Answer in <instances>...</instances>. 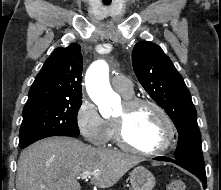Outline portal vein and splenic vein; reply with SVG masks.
I'll return each instance as SVG.
<instances>
[{"label":"portal vein and splenic vein","instance_id":"portal-vein-and-splenic-vein-1","mask_svg":"<svg viewBox=\"0 0 221 190\" xmlns=\"http://www.w3.org/2000/svg\"><path fill=\"white\" fill-rule=\"evenodd\" d=\"M98 174H99V173L96 172V171H93V172H83V173L80 174V177H81L82 179H87V178H90V177L93 176V175H98Z\"/></svg>","mask_w":221,"mask_h":190}]
</instances>
